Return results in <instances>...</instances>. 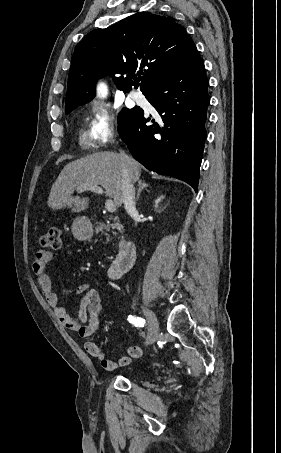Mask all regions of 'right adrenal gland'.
<instances>
[{"mask_svg": "<svg viewBox=\"0 0 281 453\" xmlns=\"http://www.w3.org/2000/svg\"><path fill=\"white\" fill-rule=\"evenodd\" d=\"M147 186H149V184H147V182H144V180H138V190H137V194H136V200H139L140 194H141L143 188H147Z\"/></svg>", "mask_w": 281, "mask_h": 453, "instance_id": "right-adrenal-gland-1", "label": "right adrenal gland"}]
</instances>
